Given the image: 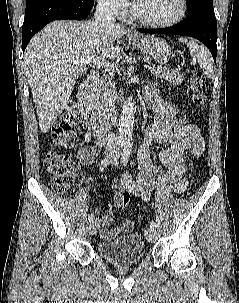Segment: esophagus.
<instances>
[{
  "instance_id": "1",
  "label": "esophagus",
  "mask_w": 239,
  "mask_h": 303,
  "mask_svg": "<svg viewBox=\"0 0 239 303\" xmlns=\"http://www.w3.org/2000/svg\"><path fill=\"white\" fill-rule=\"evenodd\" d=\"M131 36L134 37L135 35H134V34H131Z\"/></svg>"
}]
</instances>
